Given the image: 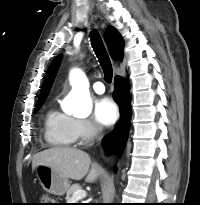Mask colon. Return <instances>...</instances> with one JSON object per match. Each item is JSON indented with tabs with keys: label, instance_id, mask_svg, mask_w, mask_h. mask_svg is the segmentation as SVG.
<instances>
[{
	"label": "colon",
	"instance_id": "colon-1",
	"mask_svg": "<svg viewBox=\"0 0 200 205\" xmlns=\"http://www.w3.org/2000/svg\"><path fill=\"white\" fill-rule=\"evenodd\" d=\"M38 205H53V199L48 194H42L40 196Z\"/></svg>",
	"mask_w": 200,
	"mask_h": 205
}]
</instances>
